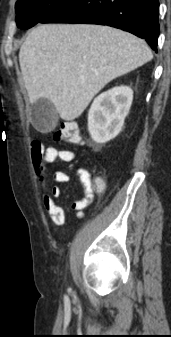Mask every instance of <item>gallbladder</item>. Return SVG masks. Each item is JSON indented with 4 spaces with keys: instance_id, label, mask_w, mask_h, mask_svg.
Wrapping results in <instances>:
<instances>
[{
    "instance_id": "bac80fb5",
    "label": "gallbladder",
    "mask_w": 171,
    "mask_h": 337,
    "mask_svg": "<svg viewBox=\"0 0 171 337\" xmlns=\"http://www.w3.org/2000/svg\"><path fill=\"white\" fill-rule=\"evenodd\" d=\"M58 122V112L47 99H39L32 105V125L41 132L51 131Z\"/></svg>"
}]
</instances>
